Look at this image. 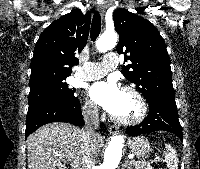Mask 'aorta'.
Returning <instances> with one entry per match:
<instances>
[{
  "label": "aorta",
  "instance_id": "obj_1",
  "mask_svg": "<svg viewBox=\"0 0 200 169\" xmlns=\"http://www.w3.org/2000/svg\"><path fill=\"white\" fill-rule=\"evenodd\" d=\"M118 41L115 32H105L96 42V48L99 52H106L113 49ZM124 143L123 135H116L111 138L108 147L104 153V161L99 169H116L122 157V148Z\"/></svg>",
  "mask_w": 200,
  "mask_h": 169
}]
</instances>
